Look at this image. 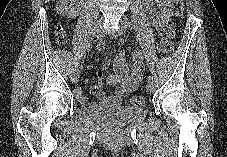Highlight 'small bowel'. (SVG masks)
Masks as SVG:
<instances>
[{
    "label": "small bowel",
    "instance_id": "obj_1",
    "mask_svg": "<svg viewBox=\"0 0 227 157\" xmlns=\"http://www.w3.org/2000/svg\"><path fill=\"white\" fill-rule=\"evenodd\" d=\"M171 0H145V6L151 17L153 26L161 31L162 34H172L170 23ZM133 66L129 71L124 53L117 54L114 60V72L106 78L109 85H115L116 88L111 95H107L101 82L93 84L90 91L98 98V102L88 100L82 88L77 87L74 90L75 96L79 104L87 111H93L108 106L118 105L129 93L133 92L139 85L144 74L143 54L140 49H134L132 53ZM108 67V63L103 65V69ZM98 76L101 79L103 72L99 71Z\"/></svg>",
    "mask_w": 227,
    "mask_h": 157
}]
</instances>
